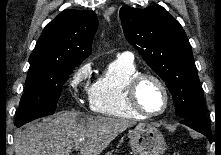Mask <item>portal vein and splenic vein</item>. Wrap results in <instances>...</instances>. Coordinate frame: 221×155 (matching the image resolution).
I'll use <instances>...</instances> for the list:
<instances>
[{
  "instance_id": "18ae733b",
  "label": "portal vein and splenic vein",
  "mask_w": 221,
  "mask_h": 155,
  "mask_svg": "<svg viewBox=\"0 0 221 155\" xmlns=\"http://www.w3.org/2000/svg\"><path fill=\"white\" fill-rule=\"evenodd\" d=\"M81 148V145H77L76 147H75V150H78V149H80Z\"/></svg>"
}]
</instances>
